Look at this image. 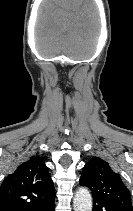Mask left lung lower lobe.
Returning a JSON list of instances; mask_svg holds the SVG:
<instances>
[{"mask_svg":"<svg viewBox=\"0 0 133 211\" xmlns=\"http://www.w3.org/2000/svg\"><path fill=\"white\" fill-rule=\"evenodd\" d=\"M93 211H125V210L102 203L98 200H94Z\"/></svg>","mask_w":133,"mask_h":211,"instance_id":"obj_1","label":"left lung lower lobe"}]
</instances>
